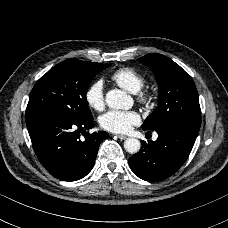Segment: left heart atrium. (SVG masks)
Returning <instances> with one entry per match:
<instances>
[{
    "instance_id": "39dd6f15",
    "label": "left heart atrium",
    "mask_w": 228,
    "mask_h": 228,
    "mask_svg": "<svg viewBox=\"0 0 228 228\" xmlns=\"http://www.w3.org/2000/svg\"><path fill=\"white\" fill-rule=\"evenodd\" d=\"M140 122V117L135 111L110 110L100 117L103 129L112 133H126L133 125Z\"/></svg>"
}]
</instances>
